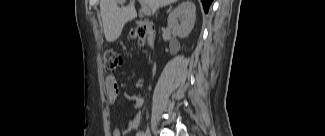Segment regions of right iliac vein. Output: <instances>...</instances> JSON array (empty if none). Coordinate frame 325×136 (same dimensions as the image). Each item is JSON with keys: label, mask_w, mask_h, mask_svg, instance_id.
I'll return each instance as SVG.
<instances>
[{"label": "right iliac vein", "mask_w": 325, "mask_h": 136, "mask_svg": "<svg viewBox=\"0 0 325 136\" xmlns=\"http://www.w3.org/2000/svg\"><path fill=\"white\" fill-rule=\"evenodd\" d=\"M151 134H150V131L149 130H147L146 131V136H150Z\"/></svg>", "instance_id": "right-iliac-vein-1"}]
</instances>
